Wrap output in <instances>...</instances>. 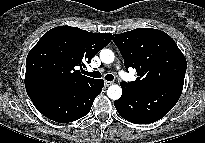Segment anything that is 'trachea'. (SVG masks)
Returning a JSON list of instances; mask_svg holds the SVG:
<instances>
[{"mask_svg": "<svg viewBox=\"0 0 205 143\" xmlns=\"http://www.w3.org/2000/svg\"><path fill=\"white\" fill-rule=\"evenodd\" d=\"M83 74L88 75V76L93 77V78H100L101 77V73L99 71H94V72L83 71ZM105 79L107 81H112L114 79V76L112 74H107L105 76Z\"/></svg>", "mask_w": 205, "mask_h": 143, "instance_id": "1", "label": "trachea"}]
</instances>
